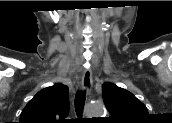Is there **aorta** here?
<instances>
[{"label": "aorta", "mask_w": 172, "mask_h": 123, "mask_svg": "<svg viewBox=\"0 0 172 123\" xmlns=\"http://www.w3.org/2000/svg\"><path fill=\"white\" fill-rule=\"evenodd\" d=\"M104 113H105V110L103 106L97 103H90L86 109V115L89 116V118L102 117Z\"/></svg>", "instance_id": "obj_1"}]
</instances>
